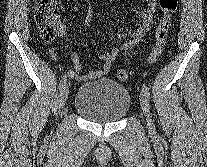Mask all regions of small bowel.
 <instances>
[{"label": "small bowel", "instance_id": "small-bowel-1", "mask_svg": "<svg viewBox=\"0 0 207 167\" xmlns=\"http://www.w3.org/2000/svg\"><path fill=\"white\" fill-rule=\"evenodd\" d=\"M158 0H148V7L144 12L134 11L139 20L138 26L130 33L118 32L117 37L124 41V45L121 48L113 47L107 54H100L98 59L102 61V67L86 74L80 73V62L74 53H69V57L72 61L73 68L67 71V75L76 81L85 82L100 78L110 72L113 62L118 58L119 54L123 50H128L134 47L141 38L149 31L153 16L156 12ZM92 19V9L89 10L87 23L89 25ZM60 35L65 33V26L61 23L59 27ZM52 57L56 58V55L52 53Z\"/></svg>", "mask_w": 207, "mask_h": 167}]
</instances>
